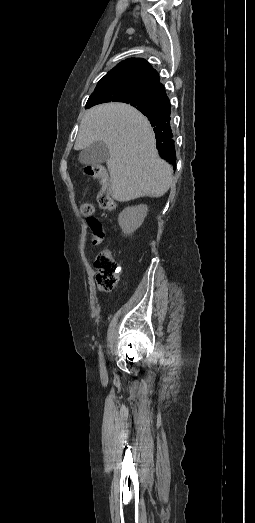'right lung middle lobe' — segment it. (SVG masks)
Here are the masks:
<instances>
[{
  "mask_svg": "<svg viewBox=\"0 0 255 523\" xmlns=\"http://www.w3.org/2000/svg\"><path fill=\"white\" fill-rule=\"evenodd\" d=\"M110 101L118 102H143L148 99L147 93L139 89H128L117 93H110L105 96Z\"/></svg>",
  "mask_w": 255,
  "mask_h": 523,
  "instance_id": "1",
  "label": "right lung middle lobe"
}]
</instances>
